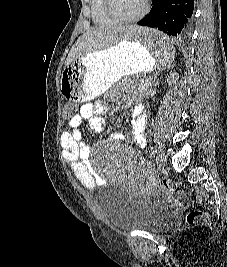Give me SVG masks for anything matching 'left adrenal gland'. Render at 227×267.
I'll return each mask as SVG.
<instances>
[{
    "mask_svg": "<svg viewBox=\"0 0 227 267\" xmlns=\"http://www.w3.org/2000/svg\"><path fill=\"white\" fill-rule=\"evenodd\" d=\"M169 67H171V65H168V66H167V68H169ZM165 68H166V67H165ZM165 68H164V69H165ZM164 69H159L158 71L155 72V74H154V78H153V81H152V84L155 83V81H156V79H157V75H158L162 70H164Z\"/></svg>",
    "mask_w": 227,
    "mask_h": 267,
    "instance_id": "1",
    "label": "left adrenal gland"
}]
</instances>
